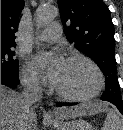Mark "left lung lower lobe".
Segmentation results:
<instances>
[{"mask_svg": "<svg viewBox=\"0 0 123 130\" xmlns=\"http://www.w3.org/2000/svg\"><path fill=\"white\" fill-rule=\"evenodd\" d=\"M71 105H75V103L72 104H68V103H57V106H71ZM119 111L123 114V108H119Z\"/></svg>", "mask_w": 123, "mask_h": 130, "instance_id": "0a47b994", "label": "left lung lower lobe"}]
</instances>
